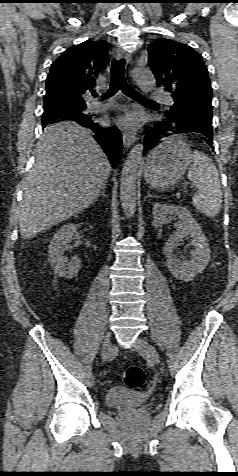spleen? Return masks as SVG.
Listing matches in <instances>:
<instances>
[{
    "mask_svg": "<svg viewBox=\"0 0 238 476\" xmlns=\"http://www.w3.org/2000/svg\"><path fill=\"white\" fill-rule=\"evenodd\" d=\"M188 179L197 188L192 203L204 215L214 218L221 209L222 190L216 166L200 151H194Z\"/></svg>",
    "mask_w": 238,
    "mask_h": 476,
    "instance_id": "1",
    "label": "spleen"
}]
</instances>
